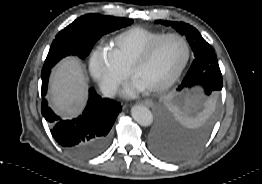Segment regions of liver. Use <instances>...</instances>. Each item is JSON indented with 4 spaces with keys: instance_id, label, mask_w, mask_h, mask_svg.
<instances>
[{
    "instance_id": "6515ba94",
    "label": "liver",
    "mask_w": 262,
    "mask_h": 184,
    "mask_svg": "<svg viewBox=\"0 0 262 184\" xmlns=\"http://www.w3.org/2000/svg\"><path fill=\"white\" fill-rule=\"evenodd\" d=\"M50 95L53 108L58 114L72 118L81 112L86 102L87 85L78 60L67 58L55 68Z\"/></svg>"
}]
</instances>
